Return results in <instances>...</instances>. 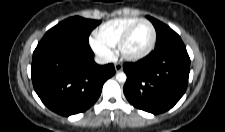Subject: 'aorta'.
Instances as JSON below:
<instances>
[{"label": "aorta", "mask_w": 225, "mask_h": 132, "mask_svg": "<svg viewBox=\"0 0 225 132\" xmlns=\"http://www.w3.org/2000/svg\"><path fill=\"white\" fill-rule=\"evenodd\" d=\"M127 79V76L124 72H118L116 74V80L120 83H124Z\"/></svg>", "instance_id": "762f6f07"}]
</instances>
